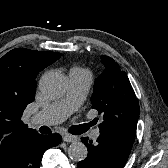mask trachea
I'll list each match as a JSON object with an SVG mask.
<instances>
[{"mask_svg": "<svg viewBox=\"0 0 168 168\" xmlns=\"http://www.w3.org/2000/svg\"><path fill=\"white\" fill-rule=\"evenodd\" d=\"M91 126H92L91 123L83 124V125H77V126H72L69 129V132L71 134H74V135H79V134H82L83 132H86ZM40 132L43 133V134H50L51 130L48 127H46V126H42L40 128Z\"/></svg>", "mask_w": 168, "mask_h": 168, "instance_id": "trachea-1", "label": "trachea"}]
</instances>
